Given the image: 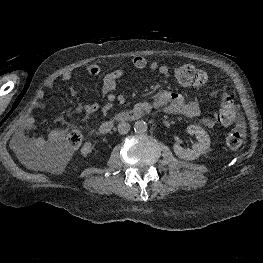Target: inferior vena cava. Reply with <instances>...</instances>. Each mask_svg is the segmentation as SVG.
I'll use <instances>...</instances> for the list:
<instances>
[{
  "mask_svg": "<svg viewBox=\"0 0 263 263\" xmlns=\"http://www.w3.org/2000/svg\"><path fill=\"white\" fill-rule=\"evenodd\" d=\"M130 130V125L127 122H120L118 124V132L120 134H127Z\"/></svg>",
  "mask_w": 263,
  "mask_h": 263,
  "instance_id": "obj_1",
  "label": "inferior vena cava"
}]
</instances>
